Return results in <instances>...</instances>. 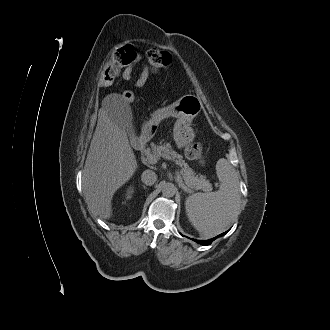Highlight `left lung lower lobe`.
<instances>
[{
    "instance_id": "1",
    "label": "left lung lower lobe",
    "mask_w": 330,
    "mask_h": 330,
    "mask_svg": "<svg viewBox=\"0 0 330 330\" xmlns=\"http://www.w3.org/2000/svg\"><path fill=\"white\" fill-rule=\"evenodd\" d=\"M226 233H227V231L220 234V235H218V236H216V237H214V238H212V239H209V240H195V239H192V240H194L195 242H197L199 244H202V245H210L215 239H217L218 237H220V236H222Z\"/></svg>"
}]
</instances>
